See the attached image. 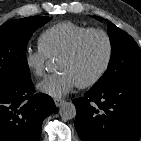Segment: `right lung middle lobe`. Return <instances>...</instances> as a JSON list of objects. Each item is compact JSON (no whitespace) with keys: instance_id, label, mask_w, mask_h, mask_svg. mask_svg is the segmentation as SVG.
Here are the masks:
<instances>
[{"instance_id":"dd1d6c3e","label":"right lung middle lobe","mask_w":141,"mask_h":141,"mask_svg":"<svg viewBox=\"0 0 141 141\" xmlns=\"http://www.w3.org/2000/svg\"><path fill=\"white\" fill-rule=\"evenodd\" d=\"M51 19L32 16L12 20L0 26V83L30 79L26 60L27 43L33 32Z\"/></svg>"}]
</instances>
